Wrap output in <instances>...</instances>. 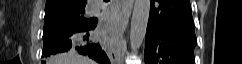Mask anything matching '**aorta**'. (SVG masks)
I'll list each match as a JSON object with an SVG mask.
<instances>
[{"instance_id":"762f6f07","label":"aorta","mask_w":242,"mask_h":64,"mask_svg":"<svg viewBox=\"0 0 242 64\" xmlns=\"http://www.w3.org/2000/svg\"><path fill=\"white\" fill-rule=\"evenodd\" d=\"M150 0H135L131 19L130 46L136 52L142 45L150 15Z\"/></svg>"}]
</instances>
